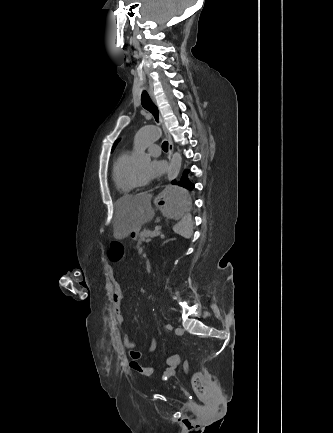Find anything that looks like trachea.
I'll return each mask as SVG.
<instances>
[{"label": "trachea", "mask_w": 333, "mask_h": 433, "mask_svg": "<svg viewBox=\"0 0 333 433\" xmlns=\"http://www.w3.org/2000/svg\"><path fill=\"white\" fill-rule=\"evenodd\" d=\"M141 104H142V106L146 110H148L149 112H151L153 114V116L155 117L156 121H158V118H159L158 109H157L156 105L152 102V100L150 99V97H149V95L147 94L146 91L142 92V95H141ZM162 149L164 151L168 150V142L167 141H164L162 143Z\"/></svg>", "instance_id": "1"}]
</instances>
